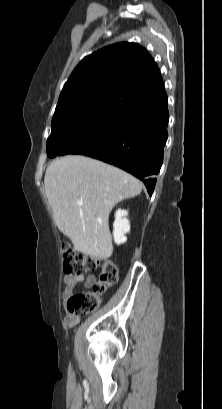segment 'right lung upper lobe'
<instances>
[{
  "label": "right lung upper lobe",
  "mask_w": 222,
  "mask_h": 409,
  "mask_svg": "<svg viewBox=\"0 0 222 409\" xmlns=\"http://www.w3.org/2000/svg\"><path fill=\"white\" fill-rule=\"evenodd\" d=\"M164 94L159 68L148 51L135 43H117L77 65L63 87L55 112L102 102L124 105Z\"/></svg>",
  "instance_id": "cb5924a9"
}]
</instances>
